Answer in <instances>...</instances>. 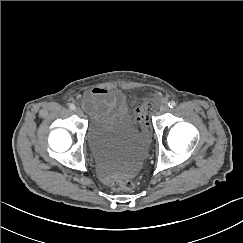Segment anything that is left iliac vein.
<instances>
[{
  "label": "left iliac vein",
  "instance_id": "1",
  "mask_svg": "<svg viewBox=\"0 0 243 243\" xmlns=\"http://www.w3.org/2000/svg\"><path fill=\"white\" fill-rule=\"evenodd\" d=\"M169 110V107L167 105H162L160 107V113H165Z\"/></svg>",
  "mask_w": 243,
  "mask_h": 243
}]
</instances>
